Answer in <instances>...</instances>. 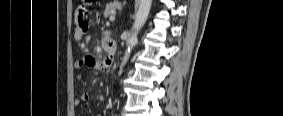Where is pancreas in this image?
<instances>
[{"label":"pancreas","mask_w":283,"mask_h":116,"mask_svg":"<svg viewBox=\"0 0 283 116\" xmlns=\"http://www.w3.org/2000/svg\"><path fill=\"white\" fill-rule=\"evenodd\" d=\"M120 6H121V3L119 1H113L107 4L105 7V11H104V17L107 18L113 15L116 9H118Z\"/></svg>","instance_id":"cf45deb5"}]
</instances>
